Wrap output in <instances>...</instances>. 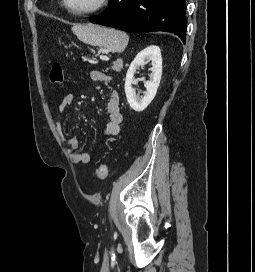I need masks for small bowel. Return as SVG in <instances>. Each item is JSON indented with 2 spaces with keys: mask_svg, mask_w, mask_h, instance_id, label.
Instances as JSON below:
<instances>
[{
  "mask_svg": "<svg viewBox=\"0 0 255 272\" xmlns=\"http://www.w3.org/2000/svg\"><path fill=\"white\" fill-rule=\"evenodd\" d=\"M90 78L93 81L104 83L109 82L112 79V77L107 73L98 70L91 71ZM73 100L74 94L72 92L64 94L58 105V114L61 115L72 104ZM106 111L108 121L105 127L101 130V135L103 137H112L119 133L122 123V115L120 112V96L116 90L111 91L109 94L106 104ZM56 129L62 140L67 145L72 161L83 165L89 164L91 162V157L88 153L78 151V140L75 137H67L63 132V128L60 122L56 123Z\"/></svg>",
  "mask_w": 255,
  "mask_h": 272,
  "instance_id": "1",
  "label": "small bowel"
}]
</instances>
